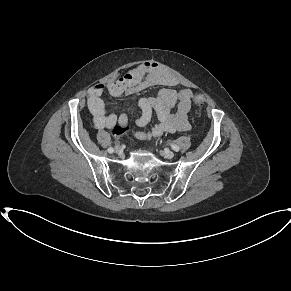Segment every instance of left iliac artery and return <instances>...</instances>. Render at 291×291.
I'll return each mask as SVG.
<instances>
[{
  "instance_id": "44dca946",
  "label": "left iliac artery",
  "mask_w": 291,
  "mask_h": 291,
  "mask_svg": "<svg viewBox=\"0 0 291 291\" xmlns=\"http://www.w3.org/2000/svg\"><path fill=\"white\" fill-rule=\"evenodd\" d=\"M171 148L176 152L180 150V148L176 144H171Z\"/></svg>"
}]
</instances>
